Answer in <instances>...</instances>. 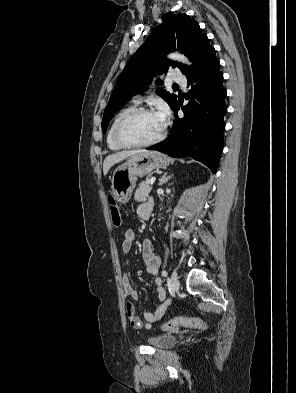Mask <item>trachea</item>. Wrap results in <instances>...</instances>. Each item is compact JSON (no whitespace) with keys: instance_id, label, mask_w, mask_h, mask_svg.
I'll list each match as a JSON object with an SVG mask.
<instances>
[{"instance_id":"3493384b","label":"trachea","mask_w":296,"mask_h":393,"mask_svg":"<svg viewBox=\"0 0 296 393\" xmlns=\"http://www.w3.org/2000/svg\"><path fill=\"white\" fill-rule=\"evenodd\" d=\"M174 87H178V85H174Z\"/></svg>"}]
</instances>
